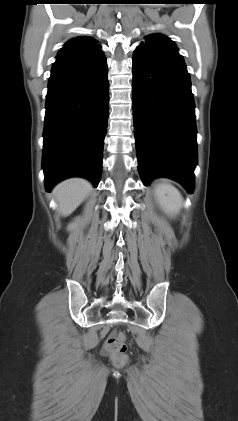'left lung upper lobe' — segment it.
Instances as JSON below:
<instances>
[{
  "label": "left lung upper lobe",
  "instance_id": "left-lung-upper-lobe-1",
  "mask_svg": "<svg viewBox=\"0 0 238 421\" xmlns=\"http://www.w3.org/2000/svg\"><path fill=\"white\" fill-rule=\"evenodd\" d=\"M138 47L151 51H178L176 45L166 36L161 34H152L145 37V44Z\"/></svg>",
  "mask_w": 238,
  "mask_h": 421
}]
</instances>
